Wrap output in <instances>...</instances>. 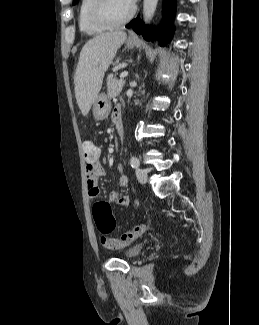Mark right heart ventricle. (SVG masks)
Listing matches in <instances>:
<instances>
[{
    "mask_svg": "<svg viewBox=\"0 0 259 325\" xmlns=\"http://www.w3.org/2000/svg\"><path fill=\"white\" fill-rule=\"evenodd\" d=\"M93 4V0H80L78 6V26L81 32L86 35L94 36L98 35L107 27L95 24L90 18V8Z\"/></svg>",
    "mask_w": 259,
    "mask_h": 325,
    "instance_id": "1",
    "label": "right heart ventricle"
}]
</instances>
